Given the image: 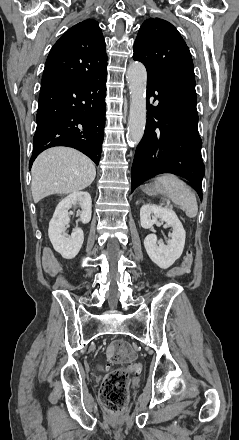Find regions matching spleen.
Here are the masks:
<instances>
[{
  "mask_svg": "<svg viewBox=\"0 0 239 440\" xmlns=\"http://www.w3.org/2000/svg\"><path fill=\"white\" fill-rule=\"evenodd\" d=\"M157 184L163 186L166 196L181 206L182 210H186V216L188 218H195L198 212V206L196 202V196L182 180H179L177 176L173 174H162L160 178H156Z\"/></svg>",
  "mask_w": 239,
  "mask_h": 440,
  "instance_id": "obj_1",
  "label": "spleen"
}]
</instances>
